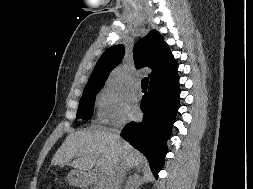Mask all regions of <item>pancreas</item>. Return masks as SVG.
I'll use <instances>...</instances> for the list:
<instances>
[{
  "label": "pancreas",
  "instance_id": "cf45deb5",
  "mask_svg": "<svg viewBox=\"0 0 253 189\" xmlns=\"http://www.w3.org/2000/svg\"><path fill=\"white\" fill-rule=\"evenodd\" d=\"M91 189H103L102 179L100 177L92 178V187Z\"/></svg>",
  "mask_w": 253,
  "mask_h": 189
}]
</instances>
